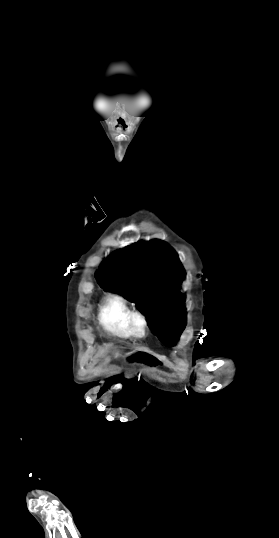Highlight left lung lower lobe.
<instances>
[{
	"mask_svg": "<svg viewBox=\"0 0 279 538\" xmlns=\"http://www.w3.org/2000/svg\"><path fill=\"white\" fill-rule=\"evenodd\" d=\"M179 335H175V334H163L161 337H160V340L165 344V345H169V346H173L175 344V342L177 341Z\"/></svg>",
	"mask_w": 279,
	"mask_h": 538,
	"instance_id": "0a47b994",
	"label": "left lung lower lobe"
}]
</instances>
